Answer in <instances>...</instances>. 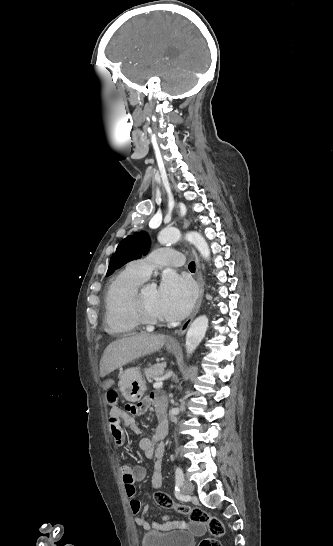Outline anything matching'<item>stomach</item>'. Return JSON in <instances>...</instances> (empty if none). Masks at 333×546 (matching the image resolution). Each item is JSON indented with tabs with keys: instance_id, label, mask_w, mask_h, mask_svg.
Masks as SVG:
<instances>
[{
	"instance_id": "1",
	"label": "stomach",
	"mask_w": 333,
	"mask_h": 546,
	"mask_svg": "<svg viewBox=\"0 0 333 546\" xmlns=\"http://www.w3.org/2000/svg\"><path fill=\"white\" fill-rule=\"evenodd\" d=\"M167 350L175 353L177 346L166 344ZM146 389L142 373L137 368H128L122 372L119 381V390L127 401L138 402L144 395Z\"/></svg>"
}]
</instances>
